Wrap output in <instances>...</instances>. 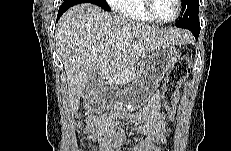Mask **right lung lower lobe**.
<instances>
[{
	"label": "right lung lower lobe",
	"mask_w": 231,
	"mask_h": 151,
	"mask_svg": "<svg viewBox=\"0 0 231 151\" xmlns=\"http://www.w3.org/2000/svg\"><path fill=\"white\" fill-rule=\"evenodd\" d=\"M80 3H84L81 0H67L64 1V3L59 7V11H58V17L57 20L60 18V16H62V14L69 9L70 7L76 5V4H80Z\"/></svg>",
	"instance_id": "obj_1"
}]
</instances>
